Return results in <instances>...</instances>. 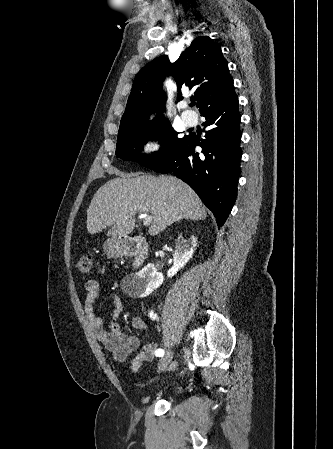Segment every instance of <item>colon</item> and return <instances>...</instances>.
<instances>
[{"label": "colon", "mask_w": 333, "mask_h": 449, "mask_svg": "<svg viewBox=\"0 0 333 449\" xmlns=\"http://www.w3.org/2000/svg\"><path fill=\"white\" fill-rule=\"evenodd\" d=\"M92 267V257L90 255H83L75 261V268L82 274H88Z\"/></svg>", "instance_id": "colon-1"}]
</instances>
